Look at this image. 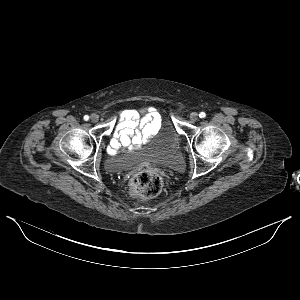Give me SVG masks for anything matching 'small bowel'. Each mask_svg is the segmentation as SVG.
I'll return each mask as SVG.
<instances>
[{
  "instance_id": "c3829d8e",
  "label": "small bowel",
  "mask_w": 300,
  "mask_h": 300,
  "mask_svg": "<svg viewBox=\"0 0 300 300\" xmlns=\"http://www.w3.org/2000/svg\"><path fill=\"white\" fill-rule=\"evenodd\" d=\"M160 124L159 113L149 108L143 116L136 110L120 113L109 150L117 151L121 146L138 145L152 137Z\"/></svg>"
}]
</instances>
